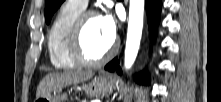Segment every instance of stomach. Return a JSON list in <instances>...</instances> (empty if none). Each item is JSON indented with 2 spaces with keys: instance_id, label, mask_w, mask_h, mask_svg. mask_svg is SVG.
I'll return each mask as SVG.
<instances>
[{
  "instance_id": "stomach-1",
  "label": "stomach",
  "mask_w": 221,
  "mask_h": 102,
  "mask_svg": "<svg viewBox=\"0 0 221 102\" xmlns=\"http://www.w3.org/2000/svg\"><path fill=\"white\" fill-rule=\"evenodd\" d=\"M87 94L90 96H100L110 94L115 89V81L113 78L108 76H98L88 84H84L82 87ZM67 95L61 93L60 90L52 96L51 94L45 97H39L36 102H66Z\"/></svg>"
}]
</instances>
